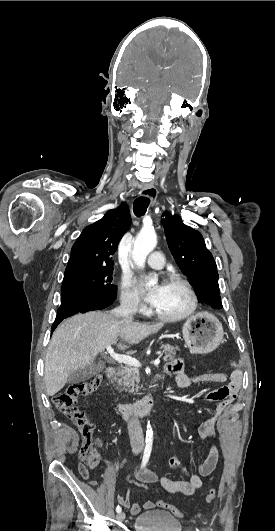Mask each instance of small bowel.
I'll use <instances>...</instances> for the list:
<instances>
[{
	"instance_id": "obj_1",
	"label": "small bowel",
	"mask_w": 275,
	"mask_h": 531,
	"mask_svg": "<svg viewBox=\"0 0 275 531\" xmlns=\"http://www.w3.org/2000/svg\"><path fill=\"white\" fill-rule=\"evenodd\" d=\"M166 372L169 375L174 376L175 385L179 389H186L193 384L197 383H228L229 396L220 402L216 408L215 415L205 420L199 428V436L202 440L212 439L216 436L215 424L219 417H221L232 402L236 399L241 387L242 373L239 370L233 371L230 375L224 372H212L202 373L196 375H190L185 372V362L176 358L170 361L166 365ZM206 400H216L213 395L205 396ZM81 444V447L82 448ZM89 459H97L98 462L101 459V455L98 451H93L88 457ZM219 452L215 446H211L204 461L199 465L198 472L189 470L183 463V460L179 453H173L169 458V465L180 475H183L187 480H178L171 477L158 478L157 474L152 470L145 467L142 463H139L135 469L136 480L142 479L146 485L160 482L161 486L169 493L192 495L196 490L201 489L204 485V479L210 480L218 466ZM87 477L91 475H81ZM119 504L129 509L131 515H138L142 508L144 510H152L154 503L152 501H146L141 506L137 503H130V490H126L118 496Z\"/></svg>"
}]
</instances>
